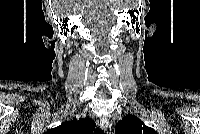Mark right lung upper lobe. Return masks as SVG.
Wrapping results in <instances>:
<instances>
[{"label":"right lung upper lobe","mask_w":200,"mask_h":134,"mask_svg":"<svg viewBox=\"0 0 200 134\" xmlns=\"http://www.w3.org/2000/svg\"><path fill=\"white\" fill-rule=\"evenodd\" d=\"M95 122L91 119H73L63 122L60 126L50 129L48 134H91Z\"/></svg>","instance_id":"cb5924a9"}]
</instances>
